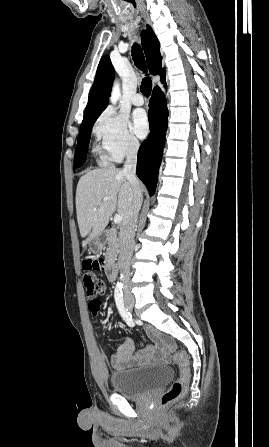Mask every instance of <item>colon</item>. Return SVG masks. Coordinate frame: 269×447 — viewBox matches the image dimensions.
Here are the masks:
<instances>
[{
  "instance_id": "1",
  "label": "colon",
  "mask_w": 269,
  "mask_h": 447,
  "mask_svg": "<svg viewBox=\"0 0 269 447\" xmlns=\"http://www.w3.org/2000/svg\"><path fill=\"white\" fill-rule=\"evenodd\" d=\"M104 264V257H96L95 254H90L89 257L84 258L83 269L84 271H102ZM83 286L86 297L92 298L90 303L91 308H98L101 301L99 295L104 292L103 280L97 278L92 272H84ZM170 348L172 349V344L168 342L166 350L170 353L171 362L178 366L179 375L162 394L161 404L163 406H169L175 403L186 392L190 379V361L186 352L182 349L170 350Z\"/></svg>"
}]
</instances>
